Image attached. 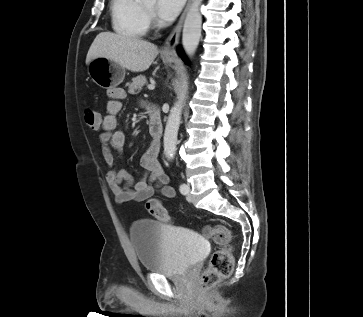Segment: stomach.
<instances>
[{
	"label": "stomach",
	"instance_id": "stomach-1",
	"mask_svg": "<svg viewBox=\"0 0 363 317\" xmlns=\"http://www.w3.org/2000/svg\"><path fill=\"white\" fill-rule=\"evenodd\" d=\"M162 58L166 63H172L174 60L172 57ZM87 71L93 82L104 89L118 86L125 77V68L105 57L93 59L88 64Z\"/></svg>",
	"mask_w": 363,
	"mask_h": 317
}]
</instances>
